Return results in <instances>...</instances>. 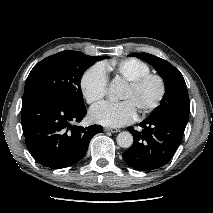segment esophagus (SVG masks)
I'll use <instances>...</instances> for the list:
<instances>
[{"label":"esophagus","mask_w":213,"mask_h":213,"mask_svg":"<svg viewBox=\"0 0 213 213\" xmlns=\"http://www.w3.org/2000/svg\"><path fill=\"white\" fill-rule=\"evenodd\" d=\"M104 131H106V132H112V133H117V132H120V129L106 127V128H104Z\"/></svg>","instance_id":"esophagus-1"}]
</instances>
